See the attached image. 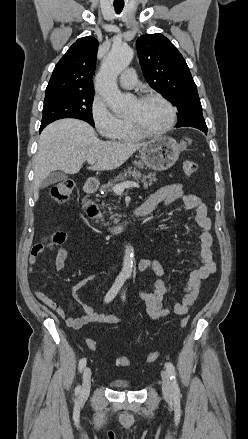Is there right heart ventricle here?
<instances>
[{"label": "right heart ventricle", "instance_id": "obj_1", "mask_svg": "<svg viewBox=\"0 0 248 439\" xmlns=\"http://www.w3.org/2000/svg\"><path fill=\"white\" fill-rule=\"evenodd\" d=\"M113 139L117 142L129 143L138 142L142 139V137L132 130L127 119H122L121 128Z\"/></svg>", "mask_w": 248, "mask_h": 439}]
</instances>
